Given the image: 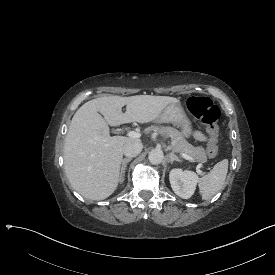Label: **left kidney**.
Listing matches in <instances>:
<instances>
[{
    "label": "left kidney",
    "mask_w": 275,
    "mask_h": 275,
    "mask_svg": "<svg viewBox=\"0 0 275 275\" xmlns=\"http://www.w3.org/2000/svg\"><path fill=\"white\" fill-rule=\"evenodd\" d=\"M169 180L176 195L183 199H188L195 191L198 176L192 171L172 169L169 174Z\"/></svg>",
    "instance_id": "left-kidney-1"
}]
</instances>
